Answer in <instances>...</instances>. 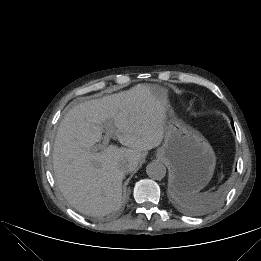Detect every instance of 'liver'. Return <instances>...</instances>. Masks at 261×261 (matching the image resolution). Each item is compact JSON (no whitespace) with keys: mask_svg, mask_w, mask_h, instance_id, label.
Segmentation results:
<instances>
[{"mask_svg":"<svg viewBox=\"0 0 261 261\" xmlns=\"http://www.w3.org/2000/svg\"><path fill=\"white\" fill-rule=\"evenodd\" d=\"M166 97L148 84L85 101L63 118L53 146V169L66 200L79 212L101 216L121 205L122 181L141 152L158 147L165 134ZM110 124L121 145L97 152Z\"/></svg>","mask_w":261,"mask_h":261,"instance_id":"1","label":"liver"}]
</instances>
